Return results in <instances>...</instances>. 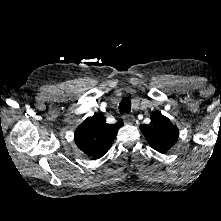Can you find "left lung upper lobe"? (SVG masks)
<instances>
[{
  "label": "left lung upper lobe",
  "instance_id": "left-lung-upper-lobe-1",
  "mask_svg": "<svg viewBox=\"0 0 221 221\" xmlns=\"http://www.w3.org/2000/svg\"><path fill=\"white\" fill-rule=\"evenodd\" d=\"M149 125H141L150 146L160 153L167 152L178 139V128L160 112H153L150 116Z\"/></svg>",
  "mask_w": 221,
  "mask_h": 221
}]
</instances>
